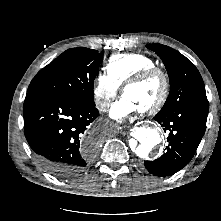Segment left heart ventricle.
Returning a JSON list of instances; mask_svg holds the SVG:
<instances>
[{"mask_svg":"<svg viewBox=\"0 0 221 221\" xmlns=\"http://www.w3.org/2000/svg\"><path fill=\"white\" fill-rule=\"evenodd\" d=\"M161 91L160 79L154 78L128 87L124 95L132 99L141 110L153 104L160 96Z\"/></svg>","mask_w":221,"mask_h":221,"instance_id":"left-heart-ventricle-1","label":"left heart ventricle"}]
</instances>
